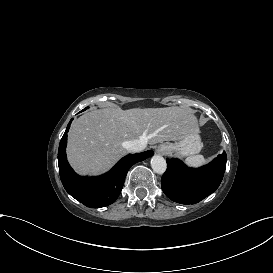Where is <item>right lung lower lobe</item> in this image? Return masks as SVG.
<instances>
[{"label":"right lung lower lobe","mask_w":273,"mask_h":273,"mask_svg":"<svg viewBox=\"0 0 273 273\" xmlns=\"http://www.w3.org/2000/svg\"><path fill=\"white\" fill-rule=\"evenodd\" d=\"M72 120H70L66 128L58 149V166L61 182L72 197L87 207L101 208L110 205L120 195L130 167L152 156L154 152L145 151L138 154H129L122 158L110 172L102 176L80 177L74 173L68 164L65 153L67 132Z\"/></svg>","instance_id":"obj_1"}]
</instances>
